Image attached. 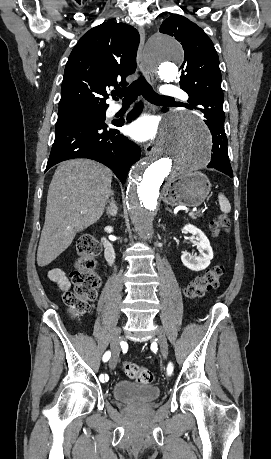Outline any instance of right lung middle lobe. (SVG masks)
Segmentation results:
<instances>
[{"label":"right lung middle lobe","instance_id":"obj_1","mask_svg":"<svg viewBox=\"0 0 271 459\" xmlns=\"http://www.w3.org/2000/svg\"><path fill=\"white\" fill-rule=\"evenodd\" d=\"M108 106L86 105L76 109L59 111L56 130L81 122H104Z\"/></svg>","mask_w":271,"mask_h":459}]
</instances>
